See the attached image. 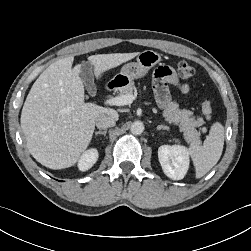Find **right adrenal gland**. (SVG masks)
Returning a JSON list of instances; mask_svg holds the SVG:
<instances>
[{"label":"right adrenal gland","instance_id":"obj_1","mask_svg":"<svg viewBox=\"0 0 251 251\" xmlns=\"http://www.w3.org/2000/svg\"><path fill=\"white\" fill-rule=\"evenodd\" d=\"M106 133H107V130H104V131H97L95 132V135L98 136V135H104L106 136Z\"/></svg>","mask_w":251,"mask_h":251}]
</instances>
